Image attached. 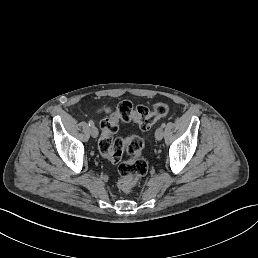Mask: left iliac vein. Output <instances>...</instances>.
Here are the masks:
<instances>
[{"instance_id": "left-iliac-vein-1", "label": "left iliac vein", "mask_w": 258, "mask_h": 258, "mask_svg": "<svg viewBox=\"0 0 258 258\" xmlns=\"http://www.w3.org/2000/svg\"><path fill=\"white\" fill-rule=\"evenodd\" d=\"M155 132H156V135H155V136H156L157 139L160 140V139L163 138V136H164V135H163V132H164V131H163L162 128H160V127L157 128Z\"/></svg>"}]
</instances>
